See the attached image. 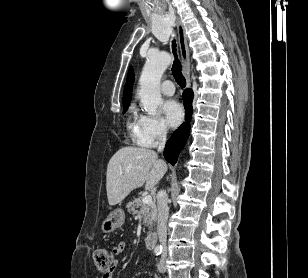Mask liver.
I'll return each mask as SVG.
<instances>
[{"instance_id": "liver-1", "label": "liver", "mask_w": 308, "mask_h": 278, "mask_svg": "<svg viewBox=\"0 0 308 278\" xmlns=\"http://www.w3.org/2000/svg\"><path fill=\"white\" fill-rule=\"evenodd\" d=\"M166 163L156 152L146 148L126 146L109 160L106 173L108 203H120L132 190L144 185L151 190L167 171Z\"/></svg>"}]
</instances>
